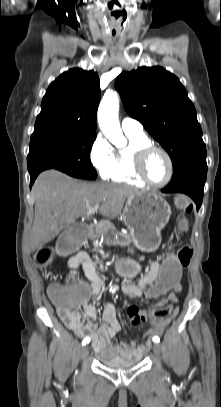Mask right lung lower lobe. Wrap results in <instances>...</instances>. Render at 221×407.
Instances as JSON below:
<instances>
[{"label":"right lung lower lobe","instance_id":"right-lung-lower-lobe-1","mask_svg":"<svg viewBox=\"0 0 221 407\" xmlns=\"http://www.w3.org/2000/svg\"><path fill=\"white\" fill-rule=\"evenodd\" d=\"M42 171H43V170H42ZM40 172H41V171H35V172L30 173V187L32 186V184L34 183L36 177L38 176V174H39Z\"/></svg>","mask_w":221,"mask_h":407}]
</instances>
